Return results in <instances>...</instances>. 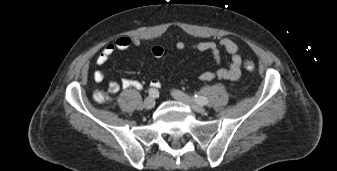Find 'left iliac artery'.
<instances>
[{"mask_svg":"<svg viewBox=\"0 0 337 171\" xmlns=\"http://www.w3.org/2000/svg\"><path fill=\"white\" fill-rule=\"evenodd\" d=\"M194 100L196 101L197 104L200 105H206L208 103L207 98L200 95H194Z\"/></svg>","mask_w":337,"mask_h":171,"instance_id":"obj_1","label":"left iliac artery"}]
</instances>
